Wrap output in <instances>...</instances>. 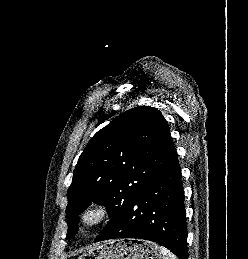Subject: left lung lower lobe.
Here are the masks:
<instances>
[{
	"mask_svg": "<svg viewBox=\"0 0 248 259\" xmlns=\"http://www.w3.org/2000/svg\"><path fill=\"white\" fill-rule=\"evenodd\" d=\"M186 233L184 191L176 156L94 242L115 238L145 239L168 248L180 259H188Z\"/></svg>",
	"mask_w": 248,
	"mask_h": 259,
	"instance_id": "left-lung-lower-lobe-1",
	"label": "left lung lower lobe"
}]
</instances>
